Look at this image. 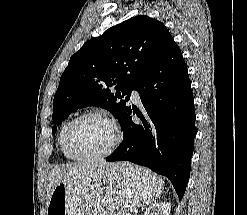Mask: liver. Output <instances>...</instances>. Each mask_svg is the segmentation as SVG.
I'll list each match as a JSON object with an SVG mask.
<instances>
[{
	"label": "liver",
	"instance_id": "1",
	"mask_svg": "<svg viewBox=\"0 0 247 215\" xmlns=\"http://www.w3.org/2000/svg\"><path fill=\"white\" fill-rule=\"evenodd\" d=\"M111 164L106 162L78 163L73 165L55 166L48 174L47 203L50 200L53 189L61 182H67L71 186H84L91 177Z\"/></svg>",
	"mask_w": 247,
	"mask_h": 215
}]
</instances>
